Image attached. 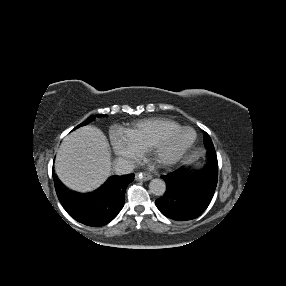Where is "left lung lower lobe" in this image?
<instances>
[{"mask_svg": "<svg viewBox=\"0 0 286 286\" xmlns=\"http://www.w3.org/2000/svg\"><path fill=\"white\" fill-rule=\"evenodd\" d=\"M161 177L166 182V192L156 200L159 211L178 221L195 219L206 210L217 186L216 152H207L206 164L199 169L180 167Z\"/></svg>", "mask_w": 286, "mask_h": 286, "instance_id": "left-lung-lower-lobe-1", "label": "left lung lower lobe"}]
</instances>
